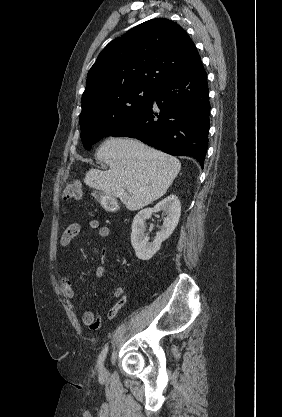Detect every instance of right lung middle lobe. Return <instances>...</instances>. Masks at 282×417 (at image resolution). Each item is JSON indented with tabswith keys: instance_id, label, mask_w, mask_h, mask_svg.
I'll use <instances>...</instances> for the list:
<instances>
[{
	"instance_id": "obj_1",
	"label": "right lung middle lobe",
	"mask_w": 282,
	"mask_h": 417,
	"mask_svg": "<svg viewBox=\"0 0 282 417\" xmlns=\"http://www.w3.org/2000/svg\"><path fill=\"white\" fill-rule=\"evenodd\" d=\"M155 90L128 88L98 94L82 101L81 139L87 150L123 127L150 101Z\"/></svg>"
}]
</instances>
